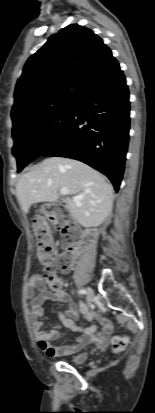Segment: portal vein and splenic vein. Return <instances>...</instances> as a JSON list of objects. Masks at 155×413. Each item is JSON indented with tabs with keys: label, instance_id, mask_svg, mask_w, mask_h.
<instances>
[{
	"label": "portal vein and splenic vein",
	"instance_id": "1",
	"mask_svg": "<svg viewBox=\"0 0 155 413\" xmlns=\"http://www.w3.org/2000/svg\"><path fill=\"white\" fill-rule=\"evenodd\" d=\"M68 192H69V190L66 188V187H62L61 189H60V194L61 195H67L68 194ZM79 199H81V196H74L73 197V200H79Z\"/></svg>",
	"mask_w": 155,
	"mask_h": 413
}]
</instances>
